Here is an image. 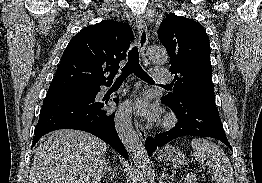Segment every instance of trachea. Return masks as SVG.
<instances>
[{"mask_svg":"<svg viewBox=\"0 0 262 183\" xmlns=\"http://www.w3.org/2000/svg\"><path fill=\"white\" fill-rule=\"evenodd\" d=\"M131 73H134L138 78L145 82L154 84L153 79L142 69L139 64V52L136 46L129 51L128 62L122 69L121 74L117 77L115 82H123Z\"/></svg>","mask_w":262,"mask_h":183,"instance_id":"trachea-1","label":"trachea"}]
</instances>
